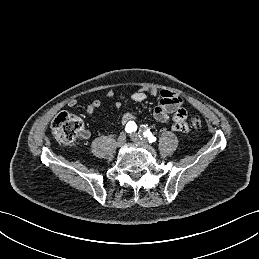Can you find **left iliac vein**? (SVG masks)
<instances>
[{
    "label": "left iliac vein",
    "mask_w": 259,
    "mask_h": 259,
    "mask_svg": "<svg viewBox=\"0 0 259 259\" xmlns=\"http://www.w3.org/2000/svg\"><path fill=\"white\" fill-rule=\"evenodd\" d=\"M130 138H131L134 142H136V143H142V144H146V143H147V141H146L144 138L141 139V137H140L137 133H132V134L130 135Z\"/></svg>",
    "instance_id": "1"
}]
</instances>
